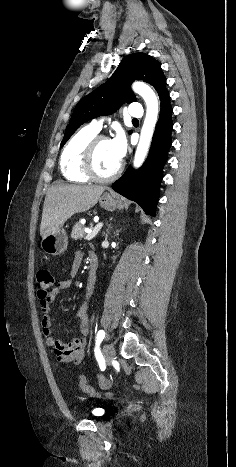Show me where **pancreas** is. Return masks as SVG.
I'll return each instance as SVG.
<instances>
[{"label":"pancreas","instance_id":"pancreas-1","mask_svg":"<svg viewBox=\"0 0 236 467\" xmlns=\"http://www.w3.org/2000/svg\"><path fill=\"white\" fill-rule=\"evenodd\" d=\"M71 238L74 240H81L82 238H86L84 228L80 222H77L73 227Z\"/></svg>","mask_w":236,"mask_h":467}]
</instances>
